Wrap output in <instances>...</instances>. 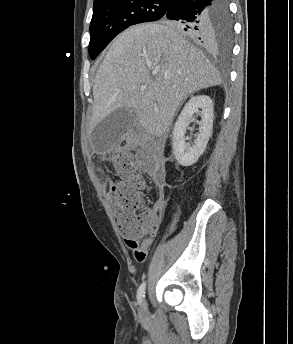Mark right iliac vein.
<instances>
[{
  "instance_id": "right-iliac-vein-1",
  "label": "right iliac vein",
  "mask_w": 293,
  "mask_h": 344,
  "mask_svg": "<svg viewBox=\"0 0 293 344\" xmlns=\"http://www.w3.org/2000/svg\"><path fill=\"white\" fill-rule=\"evenodd\" d=\"M139 315L142 319H145L148 315L147 306H146L145 302L141 303V305H140Z\"/></svg>"
}]
</instances>
